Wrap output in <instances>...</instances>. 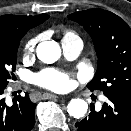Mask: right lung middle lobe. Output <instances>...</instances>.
Instances as JSON below:
<instances>
[{
    "mask_svg": "<svg viewBox=\"0 0 131 131\" xmlns=\"http://www.w3.org/2000/svg\"><path fill=\"white\" fill-rule=\"evenodd\" d=\"M24 35L17 37L0 36V88L7 86L13 78L17 62L19 42Z\"/></svg>",
    "mask_w": 131,
    "mask_h": 131,
    "instance_id": "1",
    "label": "right lung middle lobe"
}]
</instances>
